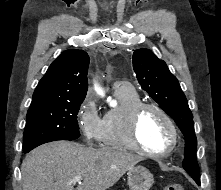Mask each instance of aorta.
<instances>
[{
    "instance_id": "obj_1",
    "label": "aorta",
    "mask_w": 221,
    "mask_h": 190,
    "mask_svg": "<svg viewBox=\"0 0 221 190\" xmlns=\"http://www.w3.org/2000/svg\"><path fill=\"white\" fill-rule=\"evenodd\" d=\"M95 90L97 91L98 94H100V95H102V96L104 95V94H103V91L101 90V88H99V87L96 86V87H95Z\"/></svg>"
}]
</instances>
